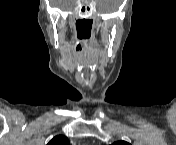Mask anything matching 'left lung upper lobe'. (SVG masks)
Returning <instances> with one entry per match:
<instances>
[{
    "label": "left lung upper lobe",
    "mask_w": 176,
    "mask_h": 145,
    "mask_svg": "<svg viewBox=\"0 0 176 145\" xmlns=\"http://www.w3.org/2000/svg\"><path fill=\"white\" fill-rule=\"evenodd\" d=\"M113 145H129V143H127L125 141H117V142L113 143Z\"/></svg>",
    "instance_id": "left-lung-upper-lobe-1"
}]
</instances>
